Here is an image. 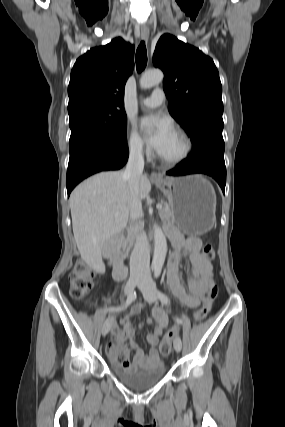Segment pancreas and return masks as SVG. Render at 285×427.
Listing matches in <instances>:
<instances>
[{"instance_id":"cf45deb5","label":"pancreas","mask_w":285,"mask_h":427,"mask_svg":"<svg viewBox=\"0 0 285 427\" xmlns=\"http://www.w3.org/2000/svg\"><path fill=\"white\" fill-rule=\"evenodd\" d=\"M159 216H160L161 220H163L164 222H171L172 221L171 208L167 203H165V202L163 203L162 209L159 210ZM139 229H142V226L140 228L132 229L129 232L128 240H129L130 244L133 243L134 237H135V235Z\"/></svg>"}]
</instances>
